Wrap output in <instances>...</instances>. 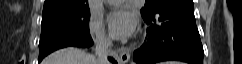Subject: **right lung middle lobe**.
<instances>
[{
	"label": "right lung middle lobe",
	"mask_w": 242,
	"mask_h": 64,
	"mask_svg": "<svg viewBox=\"0 0 242 64\" xmlns=\"http://www.w3.org/2000/svg\"><path fill=\"white\" fill-rule=\"evenodd\" d=\"M89 18V8L42 14L39 59L63 47L91 43Z\"/></svg>",
	"instance_id": "dd1d6c3e"
}]
</instances>
